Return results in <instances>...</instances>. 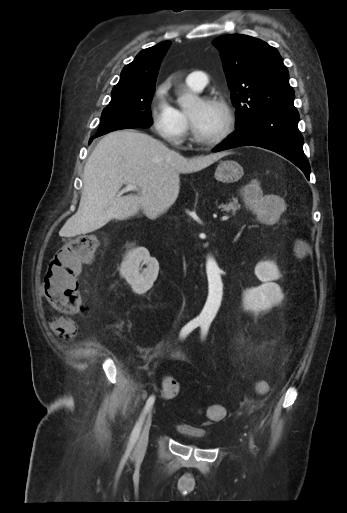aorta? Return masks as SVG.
Returning <instances> with one entry per match:
<instances>
[{"mask_svg": "<svg viewBox=\"0 0 347 513\" xmlns=\"http://www.w3.org/2000/svg\"><path fill=\"white\" fill-rule=\"evenodd\" d=\"M179 102L185 110H191L195 106L199 105L201 100L196 95L184 93L180 97ZM206 271L208 276L209 295L199 318L201 320L211 321L221 302L223 284L218 265L210 256L207 259Z\"/></svg>", "mask_w": 347, "mask_h": 513, "instance_id": "obj_1", "label": "aorta"}]
</instances>
